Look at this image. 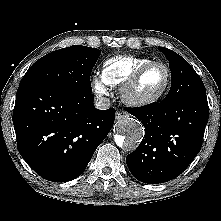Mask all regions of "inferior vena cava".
Listing matches in <instances>:
<instances>
[{"instance_id":"obj_1","label":"inferior vena cava","mask_w":221,"mask_h":221,"mask_svg":"<svg viewBox=\"0 0 221 221\" xmlns=\"http://www.w3.org/2000/svg\"><path fill=\"white\" fill-rule=\"evenodd\" d=\"M95 107L97 109H108L110 107V100L106 97H99L95 100Z\"/></svg>"}]
</instances>
